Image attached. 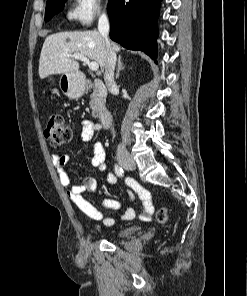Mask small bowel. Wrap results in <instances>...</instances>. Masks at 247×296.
Masks as SVG:
<instances>
[{"label":"small bowel","instance_id":"obj_1","mask_svg":"<svg viewBox=\"0 0 247 296\" xmlns=\"http://www.w3.org/2000/svg\"><path fill=\"white\" fill-rule=\"evenodd\" d=\"M101 130V125L89 120L82 121V133L81 139L85 143L93 144V156L91 159V164L99 171H104L106 169L105 162V151L102 145L98 142H93V137L95 133ZM69 159L67 154L53 153L51 155V160L58 172V176L62 186L65 187L67 196L72 201V203L88 218L101 222L103 225L110 227L114 225L115 218L105 216L97 207L92 205L83 197L84 192L94 191L97 186L96 179L93 176H87L82 179L80 183H73L71 177L65 170V165ZM106 181L108 184L114 185L118 183V178L113 173H108L106 176ZM126 184L128 186V194L132 205L127 208L121 215L122 220H132L136 216V208L134 206V201L136 195L144 200V209L140 214V219L147 220L151 217L152 206L149 202V197L146 191L134 180L127 179ZM101 207L112 210H120L121 204L113 199H105L101 202ZM149 215L147 218L146 215Z\"/></svg>","mask_w":247,"mask_h":296}]
</instances>
